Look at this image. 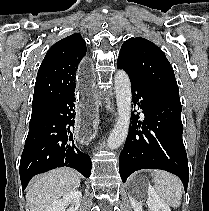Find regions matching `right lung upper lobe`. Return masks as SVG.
<instances>
[{
  "mask_svg": "<svg viewBox=\"0 0 209 211\" xmlns=\"http://www.w3.org/2000/svg\"><path fill=\"white\" fill-rule=\"evenodd\" d=\"M86 55V44L79 33L56 42L38 70L32 112H41L56 100L75 91L76 71Z\"/></svg>",
  "mask_w": 209,
  "mask_h": 211,
  "instance_id": "obj_1",
  "label": "right lung upper lobe"
}]
</instances>
